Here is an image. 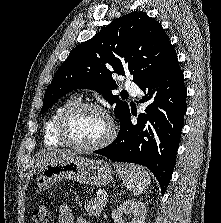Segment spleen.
<instances>
[{"mask_svg": "<svg viewBox=\"0 0 221 223\" xmlns=\"http://www.w3.org/2000/svg\"><path fill=\"white\" fill-rule=\"evenodd\" d=\"M125 188L134 195L142 194L150 185V176L144 168L133 164H114Z\"/></svg>", "mask_w": 221, "mask_h": 223, "instance_id": "obj_1", "label": "spleen"}]
</instances>
